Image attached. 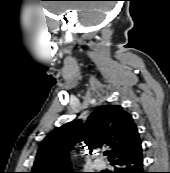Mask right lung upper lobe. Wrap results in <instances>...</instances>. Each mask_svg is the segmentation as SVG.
<instances>
[{"instance_id": "right-lung-upper-lobe-1", "label": "right lung upper lobe", "mask_w": 170, "mask_h": 173, "mask_svg": "<svg viewBox=\"0 0 170 173\" xmlns=\"http://www.w3.org/2000/svg\"><path fill=\"white\" fill-rule=\"evenodd\" d=\"M108 147L109 161L141 144L132 116L120 105H103L88 117L64 124L41 143L31 173H74L71 153L78 145Z\"/></svg>"}]
</instances>
